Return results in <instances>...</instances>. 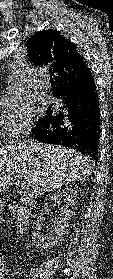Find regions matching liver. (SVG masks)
I'll return each mask as SVG.
<instances>
[{"label": "liver", "instance_id": "obj_1", "mask_svg": "<svg viewBox=\"0 0 113 279\" xmlns=\"http://www.w3.org/2000/svg\"><path fill=\"white\" fill-rule=\"evenodd\" d=\"M93 168L91 157L77 150L35 141L12 142L0 149V192L12 185V172L26 179L34 194L43 195L85 180Z\"/></svg>", "mask_w": 113, "mask_h": 279}]
</instances>
